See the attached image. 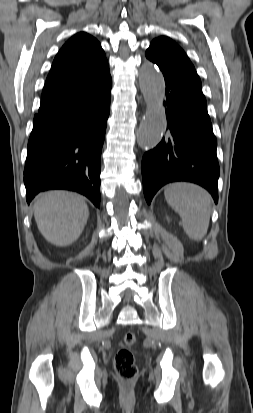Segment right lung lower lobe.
<instances>
[{
    "instance_id": "1",
    "label": "right lung lower lobe",
    "mask_w": 253,
    "mask_h": 413,
    "mask_svg": "<svg viewBox=\"0 0 253 413\" xmlns=\"http://www.w3.org/2000/svg\"><path fill=\"white\" fill-rule=\"evenodd\" d=\"M112 79L94 94L34 120L24 170L27 202L40 191L67 189L100 206V157Z\"/></svg>"
}]
</instances>
